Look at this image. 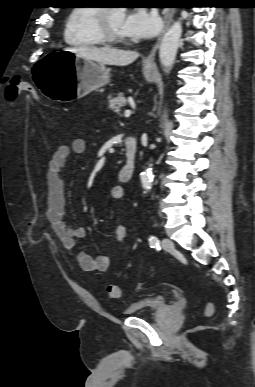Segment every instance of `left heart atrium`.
<instances>
[{"label": "left heart atrium", "mask_w": 255, "mask_h": 387, "mask_svg": "<svg viewBox=\"0 0 255 387\" xmlns=\"http://www.w3.org/2000/svg\"><path fill=\"white\" fill-rule=\"evenodd\" d=\"M161 26V19L156 12L139 8L125 16L122 29L125 36L151 38L160 31Z\"/></svg>", "instance_id": "left-heart-atrium-1"}]
</instances>
